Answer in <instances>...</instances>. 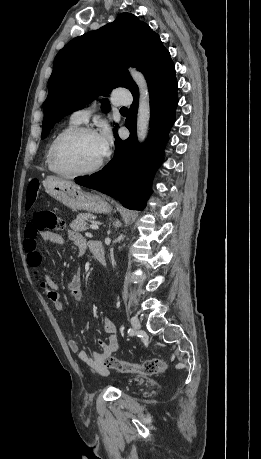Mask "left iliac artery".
Instances as JSON below:
<instances>
[{
	"label": "left iliac artery",
	"mask_w": 261,
	"mask_h": 459,
	"mask_svg": "<svg viewBox=\"0 0 261 459\" xmlns=\"http://www.w3.org/2000/svg\"><path fill=\"white\" fill-rule=\"evenodd\" d=\"M128 334L129 335H134V330L133 329H128Z\"/></svg>",
	"instance_id": "44dca946"
}]
</instances>
